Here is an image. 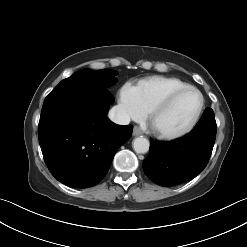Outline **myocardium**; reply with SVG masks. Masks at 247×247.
Segmentation results:
<instances>
[{
  "instance_id": "f54148a6",
  "label": "myocardium",
  "mask_w": 247,
  "mask_h": 247,
  "mask_svg": "<svg viewBox=\"0 0 247 247\" xmlns=\"http://www.w3.org/2000/svg\"><path fill=\"white\" fill-rule=\"evenodd\" d=\"M190 91L196 92L200 96V105H199L193 119L190 121V123L186 127H184L183 129L176 131V132H164V131L158 130L154 126V119L156 118V116L159 115L161 112H163L165 109H167L170 106V104L178 96H180L186 92H190ZM204 107H205V98H204V95L202 94V92L199 89H197L196 87L188 86V87L181 88V89H178V90L171 92L170 94L165 96L163 99H161L159 102H157L149 111L148 123H149L151 130L159 138L166 139V140L178 139V138L184 137L187 134H189L197 126V124H198V122L202 116V113L204 111Z\"/></svg>"
}]
</instances>
